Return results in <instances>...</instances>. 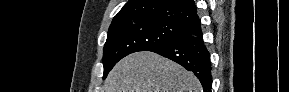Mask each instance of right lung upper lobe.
<instances>
[{"label":"right lung upper lobe","instance_id":"cb5924a9","mask_svg":"<svg viewBox=\"0 0 289 92\" xmlns=\"http://www.w3.org/2000/svg\"><path fill=\"white\" fill-rule=\"evenodd\" d=\"M133 18H154L187 26L199 19L192 0H129L112 24Z\"/></svg>","mask_w":289,"mask_h":92}]
</instances>
